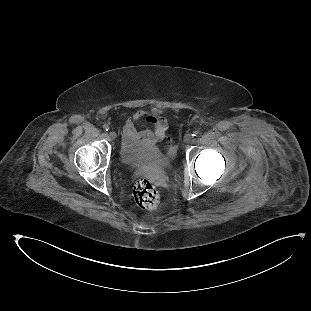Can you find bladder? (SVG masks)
Segmentation results:
<instances>
[{
    "instance_id": "bladder-1",
    "label": "bladder",
    "mask_w": 311,
    "mask_h": 311,
    "mask_svg": "<svg viewBox=\"0 0 311 311\" xmlns=\"http://www.w3.org/2000/svg\"><path fill=\"white\" fill-rule=\"evenodd\" d=\"M121 157L124 162L129 165H136L138 170L143 172H152L154 169L169 167L171 163V159L161 150L137 156L131 153L129 149L127 153L122 151Z\"/></svg>"
}]
</instances>
